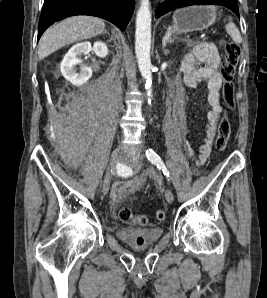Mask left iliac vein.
Instances as JSON below:
<instances>
[{
	"label": "left iliac vein",
	"mask_w": 267,
	"mask_h": 298,
	"mask_svg": "<svg viewBox=\"0 0 267 298\" xmlns=\"http://www.w3.org/2000/svg\"><path fill=\"white\" fill-rule=\"evenodd\" d=\"M126 160L130 161L131 163H139V162H143V158L140 155H136V156H132L130 158H126ZM165 198L167 200L168 203H172L174 200V195L171 191V189L167 188L165 190Z\"/></svg>",
	"instance_id": "left-iliac-vein-1"
}]
</instances>
